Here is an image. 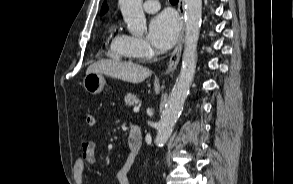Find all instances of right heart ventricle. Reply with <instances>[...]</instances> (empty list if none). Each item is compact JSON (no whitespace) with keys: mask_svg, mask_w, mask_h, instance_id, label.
Instances as JSON below:
<instances>
[{"mask_svg":"<svg viewBox=\"0 0 293 184\" xmlns=\"http://www.w3.org/2000/svg\"><path fill=\"white\" fill-rule=\"evenodd\" d=\"M107 53L115 60H132L136 57L128 44L127 36L119 33L115 26L110 29Z\"/></svg>","mask_w":293,"mask_h":184,"instance_id":"1","label":"right heart ventricle"}]
</instances>
